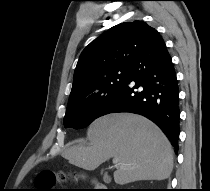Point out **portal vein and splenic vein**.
Returning a JSON list of instances; mask_svg holds the SVG:
<instances>
[{"label":"portal vein and splenic vein","mask_w":210,"mask_h":191,"mask_svg":"<svg viewBox=\"0 0 210 191\" xmlns=\"http://www.w3.org/2000/svg\"><path fill=\"white\" fill-rule=\"evenodd\" d=\"M119 159L117 157L113 158V164H115V166H118Z\"/></svg>","instance_id":"portal-vein-and-splenic-vein-1"}]
</instances>
